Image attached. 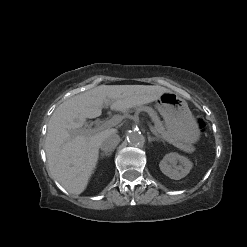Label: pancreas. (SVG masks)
I'll list each match as a JSON object with an SVG mask.
<instances>
[{
    "label": "pancreas",
    "mask_w": 247,
    "mask_h": 247,
    "mask_svg": "<svg viewBox=\"0 0 247 247\" xmlns=\"http://www.w3.org/2000/svg\"><path fill=\"white\" fill-rule=\"evenodd\" d=\"M137 112L140 111H145L149 114V116L152 119V122L154 123V129L157 132V135L159 138L177 146L178 148H181L187 152H192L193 148L191 146L185 145L179 141H177L167 130L166 128L163 126L162 122L160 121L159 117L157 116V114L155 113V111L150 108V107H138L136 108Z\"/></svg>",
    "instance_id": "cf45deb5"
}]
</instances>
